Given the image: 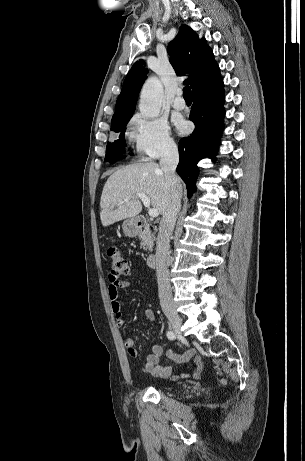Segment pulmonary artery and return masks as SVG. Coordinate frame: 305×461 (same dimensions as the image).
I'll return each instance as SVG.
<instances>
[{"instance_id": "e3ab8cb5", "label": "pulmonary artery", "mask_w": 305, "mask_h": 461, "mask_svg": "<svg viewBox=\"0 0 305 461\" xmlns=\"http://www.w3.org/2000/svg\"><path fill=\"white\" fill-rule=\"evenodd\" d=\"M172 107L176 110H183L186 107L185 100L182 98V92L177 91L176 97L172 101Z\"/></svg>"}]
</instances>
